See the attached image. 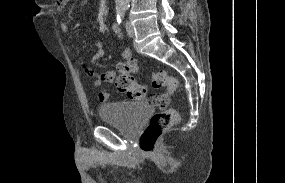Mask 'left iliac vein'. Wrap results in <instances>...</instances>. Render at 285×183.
Returning <instances> with one entry per match:
<instances>
[{
    "instance_id": "1",
    "label": "left iliac vein",
    "mask_w": 285,
    "mask_h": 183,
    "mask_svg": "<svg viewBox=\"0 0 285 183\" xmlns=\"http://www.w3.org/2000/svg\"><path fill=\"white\" fill-rule=\"evenodd\" d=\"M126 30H127V34L129 37H134L135 31H134V28L129 21L126 22Z\"/></svg>"
}]
</instances>
